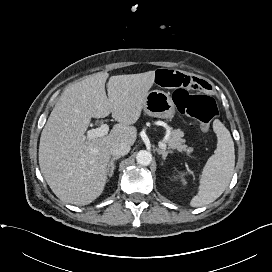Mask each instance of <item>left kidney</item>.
Returning <instances> with one entry per match:
<instances>
[{
	"instance_id": "5707ae66",
	"label": "left kidney",
	"mask_w": 272,
	"mask_h": 272,
	"mask_svg": "<svg viewBox=\"0 0 272 272\" xmlns=\"http://www.w3.org/2000/svg\"><path fill=\"white\" fill-rule=\"evenodd\" d=\"M182 182H183V184H186V181L184 179H182Z\"/></svg>"
}]
</instances>
